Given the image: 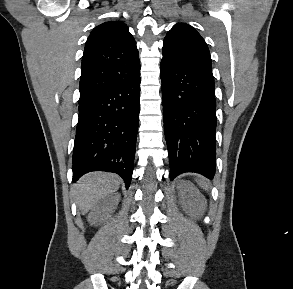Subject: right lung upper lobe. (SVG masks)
Masks as SVG:
<instances>
[{"mask_svg": "<svg viewBox=\"0 0 293 289\" xmlns=\"http://www.w3.org/2000/svg\"><path fill=\"white\" fill-rule=\"evenodd\" d=\"M140 76L136 42L121 21L95 27L82 58L79 103Z\"/></svg>", "mask_w": 293, "mask_h": 289, "instance_id": "right-lung-upper-lobe-1", "label": "right lung upper lobe"}]
</instances>
